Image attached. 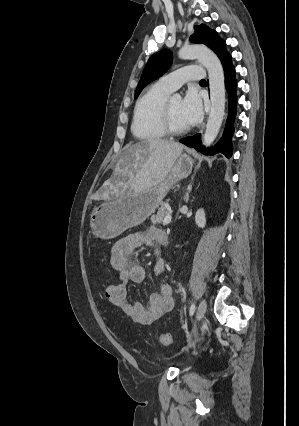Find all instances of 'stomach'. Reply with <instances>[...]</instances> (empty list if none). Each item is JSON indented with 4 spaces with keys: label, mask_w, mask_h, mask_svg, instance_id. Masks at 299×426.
I'll list each match as a JSON object with an SVG mask.
<instances>
[{
    "label": "stomach",
    "mask_w": 299,
    "mask_h": 426,
    "mask_svg": "<svg viewBox=\"0 0 299 426\" xmlns=\"http://www.w3.org/2000/svg\"><path fill=\"white\" fill-rule=\"evenodd\" d=\"M192 167V158L182 154L159 184L141 191L131 190L95 207L90 216L93 235L104 240L112 239L144 222L156 211L172 186L190 175Z\"/></svg>",
    "instance_id": "stomach-1"
}]
</instances>
